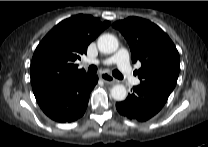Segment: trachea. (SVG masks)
<instances>
[{"label": "trachea", "instance_id": "1", "mask_svg": "<svg viewBox=\"0 0 208 147\" xmlns=\"http://www.w3.org/2000/svg\"><path fill=\"white\" fill-rule=\"evenodd\" d=\"M96 72H97V67L95 65H91L88 68V73L89 74H96ZM112 74H113L114 77H116L118 79H123L122 74L118 70H113Z\"/></svg>", "mask_w": 208, "mask_h": 147}]
</instances>
